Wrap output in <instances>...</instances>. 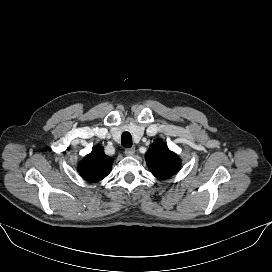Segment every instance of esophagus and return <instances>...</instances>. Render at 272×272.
<instances>
[{"label":"esophagus","mask_w":272,"mask_h":272,"mask_svg":"<svg viewBox=\"0 0 272 272\" xmlns=\"http://www.w3.org/2000/svg\"><path fill=\"white\" fill-rule=\"evenodd\" d=\"M125 154L127 156H133L135 154V148L134 147L126 148L125 149Z\"/></svg>","instance_id":"34e87169"}]
</instances>
